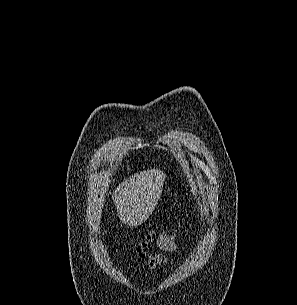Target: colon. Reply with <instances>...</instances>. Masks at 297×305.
<instances>
[{
  "mask_svg": "<svg viewBox=\"0 0 297 305\" xmlns=\"http://www.w3.org/2000/svg\"><path fill=\"white\" fill-rule=\"evenodd\" d=\"M149 240H145L140 242L137 246H136V252L140 255H147L150 251V244H149Z\"/></svg>",
  "mask_w": 297,
  "mask_h": 305,
  "instance_id": "colon-1",
  "label": "colon"
}]
</instances>
